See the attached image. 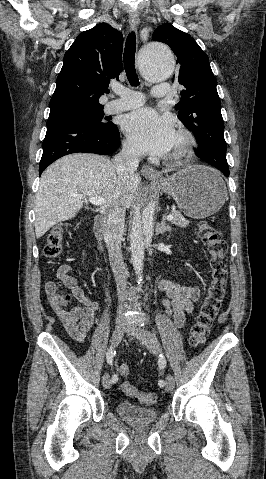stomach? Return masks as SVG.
<instances>
[{"mask_svg": "<svg viewBox=\"0 0 266 479\" xmlns=\"http://www.w3.org/2000/svg\"><path fill=\"white\" fill-rule=\"evenodd\" d=\"M152 182L172 196L186 216L194 219L213 215L227 199L226 185L220 174L206 166L188 167L162 181Z\"/></svg>", "mask_w": 266, "mask_h": 479, "instance_id": "1", "label": "stomach"}]
</instances>
